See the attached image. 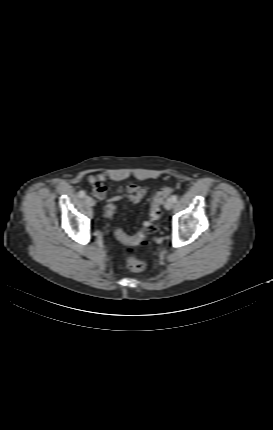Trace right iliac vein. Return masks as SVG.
I'll use <instances>...</instances> for the list:
<instances>
[{"mask_svg":"<svg viewBox=\"0 0 273 430\" xmlns=\"http://www.w3.org/2000/svg\"><path fill=\"white\" fill-rule=\"evenodd\" d=\"M85 201L89 206H95V200L93 198H91L90 196H87L85 198Z\"/></svg>","mask_w":273,"mask_h":430,"instance_id":"right-iliac-vein-1","label":"right iliac vein"}]
</instances>
